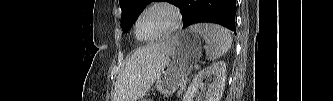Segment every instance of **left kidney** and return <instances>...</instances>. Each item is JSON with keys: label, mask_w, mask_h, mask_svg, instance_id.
Wrapping results in <instances>:
<instances>
[{"label": "left kidney", "mask_w": 333, "mask_h": 101, "mask_svg": "<svg viewBox=\"0 0 333 101\" xmlns=\"http://www.w3.org/2000/svg\"><path fill=\"white\" fill-rule=\"evenodd\" d=\"M205 78H209L210 80L213 78V81L209 83L205 101H220L226 80V63L224 61L215 62L199 71L185 92L183 101H192L198 88L203 86V79Z\"/></svg>", "instance_id": "1"}]
</instances>
